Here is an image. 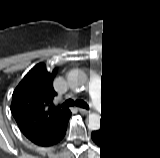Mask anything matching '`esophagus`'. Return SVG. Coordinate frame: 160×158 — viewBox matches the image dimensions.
I'll return each instance as SVG.
<instances>
[{
  "label": "esophagus",
  "instance_id": "1",
  "mask_svg": "<svg viewBox=\"0 0 160 158\" xmlns=\"http://www.w3.org/2000/svg\"><path fill=\"white\" fill-rule=\"evenodd\" d=\"M79 110H80L81 112L85 113V114L87 113V110H86V109L80 108Z\"/></svg>",
  "mask_w": 160,
  "mask_h": 158
}]
</instances>
